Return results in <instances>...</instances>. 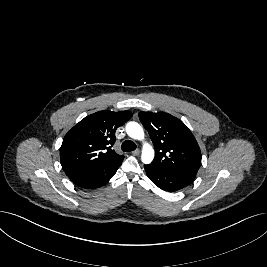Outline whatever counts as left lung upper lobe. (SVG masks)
I'll return each mask as SVG.
<instances>
[{
	"label": "left lung upper lobe",
	"mask_w": 267,
	"mask_h": 267,
	"mask_svg": "<svg viewBox=\"0 0 267 267\" xmlns=\"http://www.w3.org/2000/svg\"><path fill=\"white\" fill-rule=\"evenodd\" d=\"M139 118L155 147L151 165L194 180L201 166V151L188 127L163 112H140Z\"/></svg>",
	"instance_id": "left-lung-upper-lobe-1"
}]
</instances>
